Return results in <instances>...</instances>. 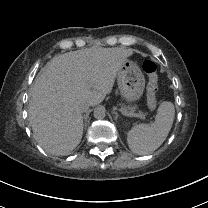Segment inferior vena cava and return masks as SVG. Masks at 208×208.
<instances>
[{
	"instance_id": "602c4592",
	"label": "inferior vena cava",
	"mask_w": 208,
	"mask_h": 208,
	"mask_svg": "<svg viewBox=\"0 0 208 208\" xmlns=\"http://www.w3.org/2000/svg\"><path fill=\"white\" fill-rule=\"evenodd\" d=\"M89 103L87 101H83L78 105V109L80 112H85L89 108Z\"/></svg>"
}]
</instances>
